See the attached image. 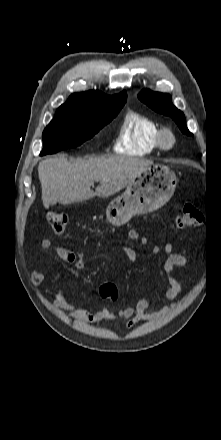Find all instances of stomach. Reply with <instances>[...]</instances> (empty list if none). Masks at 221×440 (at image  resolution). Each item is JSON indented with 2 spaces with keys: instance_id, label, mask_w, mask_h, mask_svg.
Listing matches in <instances>:
<instances>
[{
  "instance_id": "1",
  "label": "stomach",
  "mask_w": 221,
  "mask_h": 440,
  "mask_svg": "<svg viewBox=\"0 0 221 440\" xmlns=\"http://www.w3.org/2000/svg\"><path fill=\"white\" fill-rule=\"evenodd\" d=\"M177 185L175 173L164 165H152L127 185L125 192L108 205L107 219L121 226L133 216L147 214L162 207Z\"/></svg>"
}]
</instances>
